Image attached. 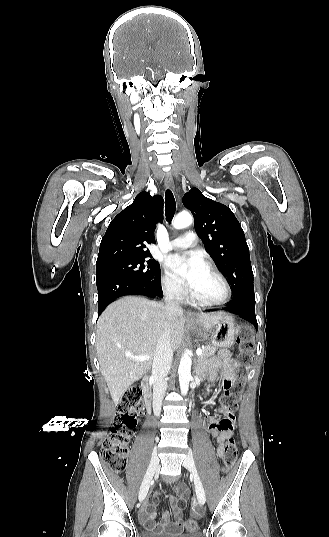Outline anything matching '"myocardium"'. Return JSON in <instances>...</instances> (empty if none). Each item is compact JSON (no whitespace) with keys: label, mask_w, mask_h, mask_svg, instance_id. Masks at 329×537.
<instances>
[{"label":"myocardium","mask_w":329,"mask_h":537,"mask_svg":"<svg viewBox=\"0 0 329 537\" xmlns=\"http://www.w3.org/2000/svg\"><path fill=\"white\" fill-rule=\"evenodd\" d=\"M206 268L219 279L224 288V295L221 299L218 300H205L195 296L194 294H191L192 300L198 305L207 307H216L226 304L232 297V289L228 280L216 267L207 264Z\"/></svg>","instance_id":"myocardium-1"}]
</instances>
